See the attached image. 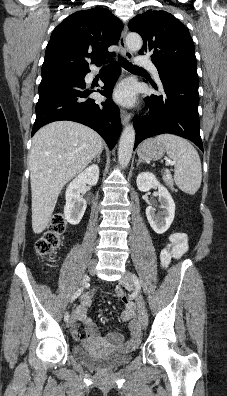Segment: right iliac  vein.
<instances>
[{"mask_svg": "<svg viewBox=\"0 0 227 396\" xmlns=\"http://www.w3.org/2000/svg\"><path fill=\"white\" fill-rule=\"evenodd\" d=\"M93 273H94V269H90V274H93ZM89 280H90V276L88 274H85L80 281V286H82V287L86 286L88 284ZM74 321H75V314L73 313L72 316L70 317L69 321L67 322V327L68 328L72 327L74 324Z\"/></svg>", "mask_w": 227, "mask_h": 396, "instance_id": "obj_1", "label": "right iliac vein"}]
</instances>
